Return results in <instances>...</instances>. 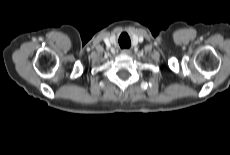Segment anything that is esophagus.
Masks as SVG:
<instances>
[{
	"label": "esophagus",
	"mask_w": 230,
	"mask_h": 155,
	"mask_svg": "<svg viewBox=\"0 0 230 155\" xmlns=\"http://www.w3.org/2000/svg\"><path fill=\"white\" fill-rule=\"evenodd\" d=\"M122 54L129 55L130 54V50L129 49H123L122 50Z\"/></svg>",
	"instance_id": "1"
}]
</instances>
